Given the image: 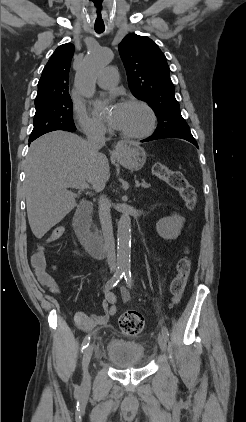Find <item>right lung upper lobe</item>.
<instances>
[{
	"label": "right lung upper lobe",
	"instance_id": "obj_1",
	"mask_svg": "<svg viewBox=\"0 0 246 422\" xmlns=\"http://www.w3.org/2000/svg\"><path fill=\"white\" fill-rule=\"evenodd\" d=\"M73 54L74 46L71 43L59 46L52 54L38 82L36 109L59 98L70 96L69 71Z\"/></svg>",
	"mask_w": 246,
	"mask_h": 422
}]
</instances>
